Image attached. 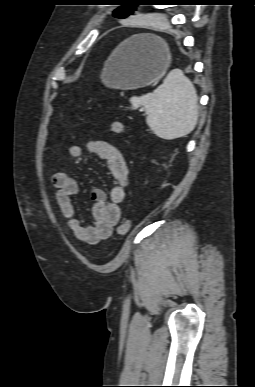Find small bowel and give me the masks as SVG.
Here are the masks:
<instances>
[{
	"mask_svg": "<svg viewBox=\"0 0 255 387\" xmlns=\"http://www.w3.org/2000/svg\"><path fill=\"white\" fill-rule=\"evenodd\" d=\"M69 156L80 162L85 154H94L107 163L114 185L109 197L99 188L93 189L94 201L91 208L92 224L86 225L77 215L73 197L79 193V184L68 173L57 172L52 175L55 199L63 217L74 236L87 244H97L108 239L121 218L120 204L124 201L129 182V171L122 151L115 145L102 140H89L84 146L72 145Z\"/></svg>",
	"mask_w": 255,
	"mask_h": 387,
	"instance_id": "1",
	"label": "small bowel"
}]
</instances>
